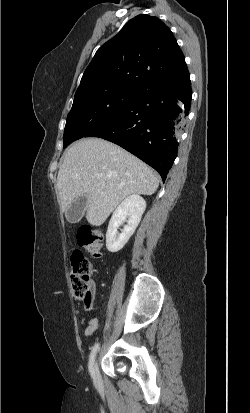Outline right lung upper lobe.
Listing matches in <instances>:
<instances>
[{
    "mask_svg": "<svg viewBox=\"0 0 250 413\" xmlns=\"http://www.w3.org/2000/svg\"><path fill=\"white\" fill-rule=\"evenodd\" d=\"M189 76L171 30L159 18L141 14L97 50L77 91L111 86L142 91L160 84H181Z\"/></svg>",
    "mask_w": 250,
    "mask_h": 413,
    "instance_id": "1",
    "label": "right lung upper lobe"
}]
</instances>
